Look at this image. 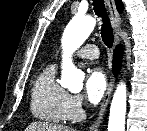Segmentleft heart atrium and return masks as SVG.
Masks as SVG:
<instances>
[{
    "label": "left heart atrium",
    "instance_id": "obj_1",
    "mask_svg": "<svg viewBox=\"0 0 147 131\" xmlns=\"http://www.w3.org/2000/svg\"><path fill=\"white\" fill-rule=\"evenodd\" d=\"M107 79L99 68L91 69L85 80V93L92 104H97L105 94Z\"/></svg>",
    "mask_w": 147,
    "mask_h": 131
}]
</instances>
